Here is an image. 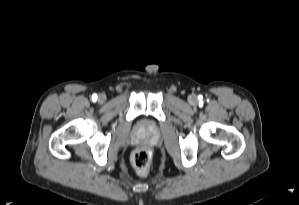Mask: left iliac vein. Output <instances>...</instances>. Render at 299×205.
I'll list each match as a JSON object with an SVG mask.
<instances>
[{
	"mask_svg": "<svg viewBox=\"0 0 299 205\" xmlns=\"http://www.w3.org/2000/svg\"><path fill=\"white\" fill-rule=\"evenodd\" d=\"M190 102H191V103H195V102H196V98H195V97H191V98H190Z\"/></svg>",
	"mask_w": 299,
	"mask_h": 205,
	"instance_id": "1",
	"label": "left iliac vein"
}]
</instances>
